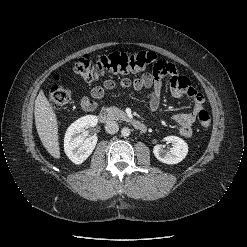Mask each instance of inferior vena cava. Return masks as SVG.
<instances>
[{"label":"inferior vena cava","instance_id":"obj_1","mask_svg":"<svg viewBox=\"0 0 247 247\" xmlns=\"http://www.w3.org/2000/svg\"><path fill=\"white\" fill-rule=\"evenodd\" d=\"M105 130L109 134H115L119 130V125L115 121H108L105 125Z\"/></svg>","mask_w":247,"mask_h":247}]
</instances>
